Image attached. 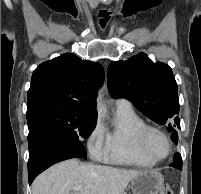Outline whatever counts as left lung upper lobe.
Segmentation results:
<instances>
[{"label":"left lung upper lobe","instance_id":"5c2ea615","mask_svg":"<svg viewBox=\"0 0 201 194\" xmlns=\"http://www.w3.org/2000/svg\"><path fill=\"white\" fill-rule=\"evenodd\" d=\"M107 80L112 97L130 100L144 115L165 125L172 132L171 139L178 137L177 83L167 64L153 63L146 54L139 53L127 61L111 63Z\"/></svg>","mask_w":201,"mask_h":194}]
</instances>
